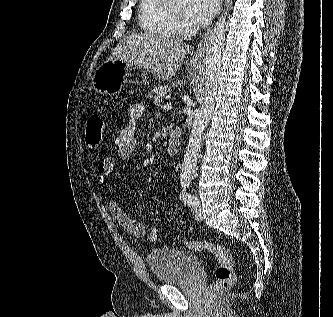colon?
Returning <instances> with one entry per match:
<instances>
[{"label": "colon", "mask_w": 333, "mask_h": 317, "mask_svg": "<svg viewBox=\"0 0 333 317\" xmlns=\"http://www.w3.org/2000/svg\"><path fill=\"white\" fill-rule=\"evenodd\" d=\"M86 145L90 149H97L103 142L104 138V121L98 112H91L84 125ZM158 231L152 227L149 232V239L156 241ZM185 246L193 251L209 252L218 260V267L215 272V282L212 291H223L231 288L235 283L234 262L231 254L223 246L200 241H186Z\"/></svg>", "instance_id": "1"}]
</instances>
